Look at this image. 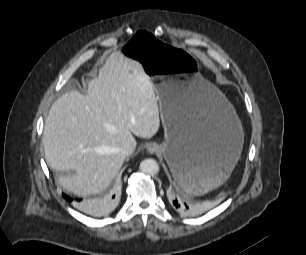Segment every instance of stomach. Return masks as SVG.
I'll list each match as a JSON object with an SVG mask.
<instances>
[{"label":"stomach","instance_id":"stomach-1","mask_svg":"<svg viewBox=\"0 0 306 255\" xmlns=\"http://www.w3.org/2000/svg\"><path fill=\"white\" fill-rule=\"evenodd\" d=\"M121 53L136 59L153 84L164 127L159 146L175 181L191 193L223 184L240 158L244 132L225 96L199 73L186 49L160 33L133 31ZM188 175L190 182L182 184Z\"/></svg>","mask_w":306,"mask_h":255}]
</instances>
